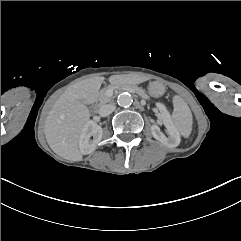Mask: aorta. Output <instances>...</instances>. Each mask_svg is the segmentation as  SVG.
<instances>
[{"mask_svg": "<svg viewBox=\"0 0 241 241\" xmlns=\"http://www.w3.org/2000/svg\"><path fill=\"white\" fill-rule=\"evenodd\" d=\"M117 103L121 107H129L133 103V98L128 92H124L118 95Z\"/></svg>", "mask_w": 241, "mask_h": 241, "instance_id": "aorta-1", "label": "aorta"}]
</instances>
